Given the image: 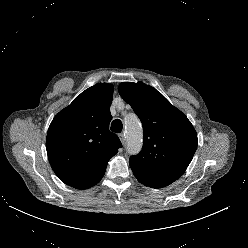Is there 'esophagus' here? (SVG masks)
Returning a JSON list of instances; mask_svg holds the SVG:
<instances>
[{
    "instance_id": "34e87169",
    "label": "esophagus",
    "mask_w": 248,
    "mask_h": 248,
    "mask_svg": "<svg viewBox=\"0 0 248 248\" xmlns=\"http://www.w3.org/2000/svg\"><path fill=\"white\" fill-rule=\"evenodd\" d=\"M119 139H120V141H121V143L124 145L125 144V134L124 133H120L119 134Z\"/></svg>"
}]
</instances>
